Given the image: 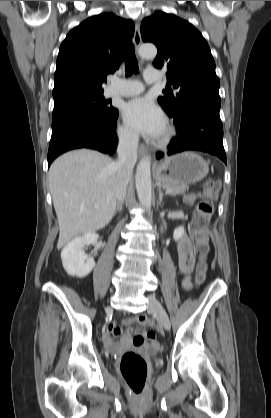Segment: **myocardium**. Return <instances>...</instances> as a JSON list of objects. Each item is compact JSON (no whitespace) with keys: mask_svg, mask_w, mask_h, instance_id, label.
I'll use <instances>...</instances> for the list:
<instances>
[{"mask_svg":"<svg viewBox=\"0 0 271 418\" xmlns=\"http://www.w3.org/2000/svg\"><path fill=\"white\" fill-rule=\"evenodd\" d=\"M174 136V129L171 125H167L157 141V146L160 148L166 147Z\"/></svg>","mask_w":271,"mask_h":418,"instance_id":"myocardium-1","label":"myocardium"}]
</instances>
